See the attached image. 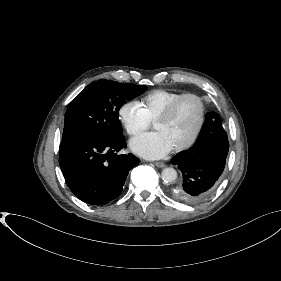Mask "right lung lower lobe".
<instances>
[{
  "instance_id": "1",
  "label": "right lung lower lobe",
  "mask_w": 281,
  "mask_h": 281,
  "mask_svg": "<svg viewBox=\"0 0 281 281\" xmlns=\"http://www.w3.org/2000/svg\"><path fill=\"white\" fill-rule=\"evenodd\" d=\"M126 147L124 136L107 140H82L59 150V163L72 193L92 205L117 198L129 171L140 160L118 154Z\"/></svg>"
}]
</instances>
